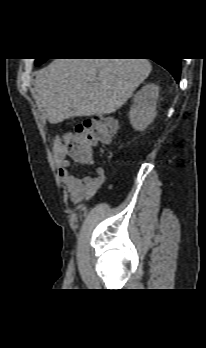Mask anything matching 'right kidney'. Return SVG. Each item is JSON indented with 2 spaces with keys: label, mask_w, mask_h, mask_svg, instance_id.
I'll use <instances>...</instances> for the list:
<instances>
[{
  "label": "right kidney",
  "mask_w": 206,
  "mask_h": 348,
  "mask_svg": "<svg viewBox=\"0 0 206 348\" xmlns=\"http://www.w3.org/2000/svg\"><path fill=\"white\" fill-rule=\"evenodd\" d=\"M158 96L159 87L152 83L144 86L134 95L129 119L135 130L143 131L153 122L156 117Z\"/></svg>",
  "instance_id": "1"
}]
</instances>
